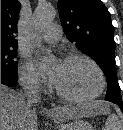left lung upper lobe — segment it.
Segmentation results:
<instances>
[{"label":"left lung upper lobe","mask_w":123,"mask_h":130,"mask_svg":"<svg viewBox=\"0 0 123 130\" xmlns=\"http://www.w3.org/2000/svg\"><path fill=\"white\" fill-rule=\"evenodd\" d=\"M59 16L68 39L93 58L107 78L106 100L123 108L116 79L114 28L101 0H59Z\"/></svg>","instance_id":"obj_1"}]
</instances>
